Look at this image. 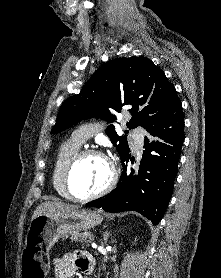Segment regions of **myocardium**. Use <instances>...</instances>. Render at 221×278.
Listing matches in <instances>:
<instances>
[{"mask_svg": "<svg viewBox=\"0 0 221 278\" xmlns=\"http://www.w3.org/2000/svg\"><path fill=\"white\" fill-rule=\"evenodd\" d=\"M98 156L101 157L102 159H104L106 161V163L108 164L109 167V171H110V176H109V180L106 183V185L100 189L99 191L92 193V194H88L86 196H79L77 194H75L72 190L71 184H70V177L72 174L73 169L75 168V166L77 165V163L82 160L83 158L87 157V156ZM118 180V171L116 168L115 163L102 151L94 149V148H84V149H80L79 151H77L67 162L64 172H63V186L64 189L68 195V197L74 201L77 202H87L93 199H96L106 193H108L110 190H112L114 188V186L116 185Z\"/></svg>", "mask_w": 221, "mask_h": 278, "instance_id": "f54148a6", "label": "myocardium"}]
</instances>
